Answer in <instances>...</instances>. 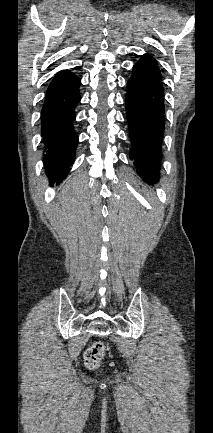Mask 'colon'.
Listing matches in <instances>:
<instances>
[{
	"label": "colon",
	"instance_id": "5ec220e1",
	"mask_svg": "<svg viewBox=\"0 0 213 433\" xmlns=\"http://www.w3.org/2000/svg\"><path fill=\"white\" fill-rule=\"evenodd\" d=\"M106 352V346L102 341L93 342L84 354V364L89 369L97 368Z\"/></svg>",
	"mask_w": 213,
	"mask_h": 433
}]
</instances>
